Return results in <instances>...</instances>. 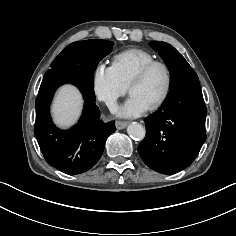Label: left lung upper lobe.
<instances>
[{
    "instance_id": "obj_1",
    "label": "left lung upper lobe",
    "mask_w": 236,
    "mask_h": 236,
    "mask_svg": "<svg viewBox=\"0 0 236 236\" xmlns=\"http://www.w3.org/2000/svg\"><path fill=\"white\" fill-rule=\"evenodd\" d=\"M150 44L159 52L170 71L171 90L181 82L198 78L185 58L173 46L161 41H152Z\"/></svg>"
}]
</instances>
